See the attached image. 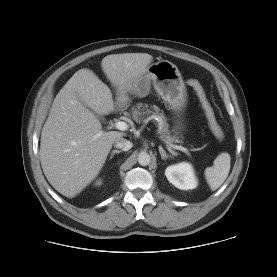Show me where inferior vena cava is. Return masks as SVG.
Wrapping results in <instances>:
<instances>
[{"mask_svg":"<svg viewBox=\"0 0 277 277\" xmlns=\"http://www.w3.org/2000/svg\"><path fill=\"white\" fill-rule=\"evenodd\" d=\"M132 146L133 144L125 138H118L114 141V147L122 149L123 151L130 150Z\"/></svg>","mask_w":277,"mask_h":277,"instance_id":"1","label":"inferior vena cava"}]
</instances>
